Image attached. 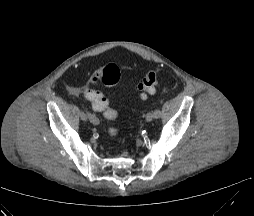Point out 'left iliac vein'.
<instances>
[{
    "label": "left iliac vein",
    "mask_w": 254,
    "mask_h": 216,
    "mask_svg": "<svg viewBox=\"0 0 254 216\" xmlns=\"http://www.w3.org/2000/svg\"><path fill=\"white\" fill-rule=\"evenodd\" d=\"M154 118V114L152 112H149L147 115H146V121L147 122H151Z\"/></svg>",
    "instance_id": "obj_1"
}]
</instances>
